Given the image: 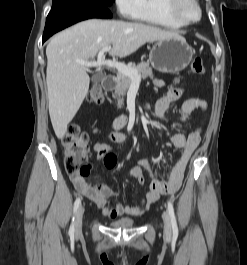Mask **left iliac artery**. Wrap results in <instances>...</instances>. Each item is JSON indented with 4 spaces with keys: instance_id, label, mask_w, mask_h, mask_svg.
Here are the masks:
<instances>
[{
    "instance_id": "1",
    "label": "left iliac artery",
    "mask_w": 247,
    "mask_h": 265,
    "mask_svg": "<svg viewBox=\"0 0 247 265\" xmlns=\"http://www.w3.org/2000/svg\"><path fill=\"white\" fill-rule=\"evenodd\" d=\"M168 212L171 218V224H172V231H173V238L178 237V227L176 223L174 208L171 202H168Z\"/></svg>"
}]
</instances>
